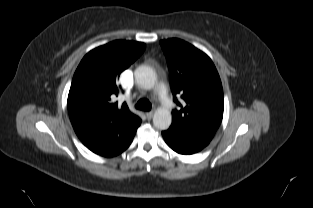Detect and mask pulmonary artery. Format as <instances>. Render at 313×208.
<instances>
[{"mask_svg":"<svg viewBox=\"0 0 313 208\" xmlns=\"http://www.w3.org/2000/svg\"><path fill=\"white\" fill-rule=\"evenodd\" d=\"M159 96L166 106H170V100H169L168 95H167V90L164 86L160 87Z\"/></svg>","mask_w":313,"mask_h":208,"instance_id":"pulmonary-artery-1","label":"pulmonary artery"}]
</instances>
